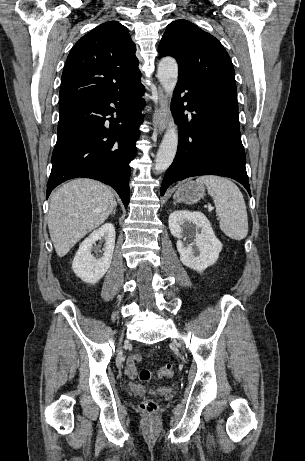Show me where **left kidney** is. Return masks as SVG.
Masks as SVG:
<instances>
[{"instance_id": "1", "label": "left kidney", "mask_w": 305, "mask_h": 461, "mask_svg": "<svg viewBox=\"0 0 305 461\" xmlns=\"http://www.w3.org/2000/svg\"><path fill=\"white\" fill-rule=\"evenodd\" d=\"M168 223L171 234L178 238L177 250L181 262L186 267L201 272L218 260L222 244L215 236L211 224L204 214L198 211L179 210L170 214ZM192 229L196 230L194 235L196 249L181 241V238L184 235H189Z\"/></svg>"}]
</instances>
